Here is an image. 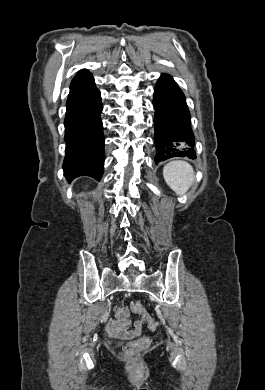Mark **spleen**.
<instances>
[{
	"instance_id": "spleen-1",
	"label": "spleen",
	"mask_w": 265,
	"mask_h": 390,
	"mask_svg": "<svg viewBox=\"0 0 265 390\" xmlns=\"http://www.w3.org/2000/svg\"><path fill=\"white\" fill-rule=\"evenodd\" d=\"M167 185L176 193L184 194L192 185L195 175L193 167L185 161H172L163 168Z\"/></svg>"
}]
</instances>
